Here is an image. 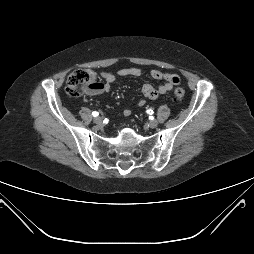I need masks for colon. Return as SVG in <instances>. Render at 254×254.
<instances>
[{
    "label": "colon",
    "mask_w": 254,
    "mask_h": 254,
    "mask_svg": "<svg viewBox=\"0 0 254 254\" xmlns=\"http://www.w3.org/2000/svg\"><path fill=\"white\" fill-rule=\"evenodd\" d=\"M97 76L90 70H76L69 74L66 82V92L71 97H79L84 92L97 88ZM185 96L182 88L174 90V98L176 101H181Z\"/></svg>",
    "instance_id": "colon-1"
}]
</instances>
